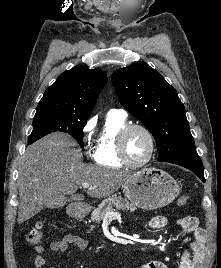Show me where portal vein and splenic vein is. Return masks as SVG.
I'll use <instances>...</instances> for the list:
<instances>
[{"label": "portal vein and splenic vein", "mask_w": 221, "mask_h": 268, "mask_svg": "<svg viewBox=\"0 0 221 268\" xmlns=\"http://www.w3.org/2000/svg\"><path fill=\"white\" fill-rule=\"evenodd\" d=\"M90 185L88 183H83L82 187L83 188H88ZM121 214L119 212H115V211H109L105 214V219H116V218H120Z\"/></svg>", "instance_id": "18ae733b"}]
</instances>
